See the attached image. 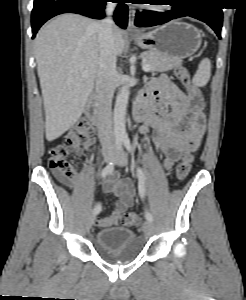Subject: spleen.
I'll return each instance as SVG.
<instances>
[{
    "label": "spleen",
    "mask_w": 246,
    "mask_h": 300,
    "mask_svg": "<svg viewBox=\"0 0 246 300\" xmlns=\"http://www.w3.org/2000/svg\"><path fill=\"white\" fill-rule=\"evenodd\" d=\"M211 76V62L208 58L203 59L198 66L192 83L196 87H204L210 80Z\"/></svg>",
    "instance_id": "3e777b00"
}]
</instances>
